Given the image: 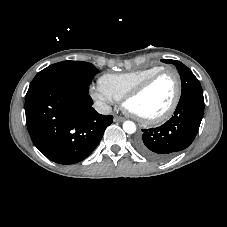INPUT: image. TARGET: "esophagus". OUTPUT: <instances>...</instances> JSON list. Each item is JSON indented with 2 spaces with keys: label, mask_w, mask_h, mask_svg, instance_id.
Masks as SVG:
<instances>
[{
  "label": "esophagus",
  "mask_w": 227,
  "mask_h": 227,
  "mask_svg": "<svg viewBox=\"0 0 227 227\" xmlns=\"http://www.w3.org/2000/svg\"><path fill=\"white\" fill-rule=\"evenodd\" d=\"M124 120H125V118L121 117V116H115L114 117V121H116V122H123Z\"/></svg>",
  "instance_id": "esophagus-1"
}]
</instances>
